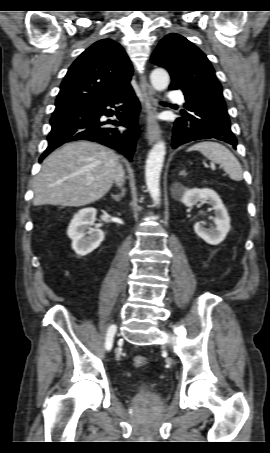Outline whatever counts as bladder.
<instances>
[{
    "label": "bladder",
    "mask_w": 270,
    "mask_h": 453,
    "mask_svg": "<svg viewBox=\"0 0 270 453\" xmlns=\"http://www.w3.org/2000/svg\"><path fill=\"white\" fill-rule=\"evenodd\" d=\"M139 392L140 394L146 395V396H154L156 395V390L155 388L150 385V384H142L139 386Z\"/></svg>",
    "instance_id": "bladder-1"
}]
</instances>
